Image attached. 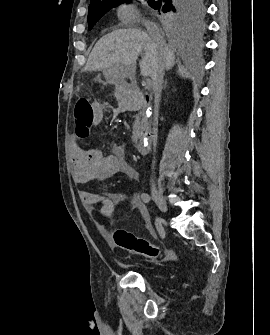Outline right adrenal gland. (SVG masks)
Wrapping results in <instances>:
<instances>
[{
  "instance_id": "right-adrenal-gland-1",
  "label": "right adrenal gland",
  "mask_w": 270,
  "mask_h": 335,
  "mask_svg": "<svg viewBox=\"0 0 270 335\" xmlns=\"http://www.w3.org/2000/svg\"><path fill=\"white\" fill-rule=\"evenodd\" d=\"M166 84H167V82H165V84H164V88H166Z\"/></svg>"
}]
</instances>
